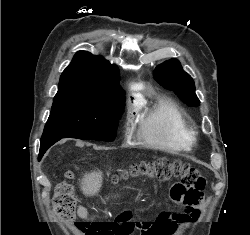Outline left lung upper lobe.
Masks as SVG:
<instances>
[{
    "label": "left lung upper lobe",
    "instance_id": "obj_1",
    "mask_svg": "<svg viewBox=\"0 0 250 235\" xmlns=\"http://www.w3.org/2000/svg\"><path fill=\"white\" fill-rule=\"evenodd\" d=\"M154 78L164 88L173 90L187 105L199 106L194 81L183 71L177 59H170L159 65L154 71Z\"/></svg>",
    "mask_w": 250,
    "mask_h": 235
}]
</instances>
